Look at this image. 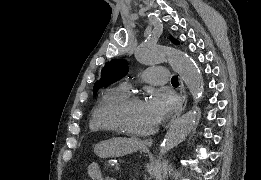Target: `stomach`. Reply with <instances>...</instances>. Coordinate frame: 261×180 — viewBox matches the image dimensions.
<instances>
[{"instance_id":"1","label":"stomach","mask_w":261,"mask_h":180,"mask_svg":"<svg viewBox=\"0 0 261 180\" xmlns=\"http://www.w3.org/2000/svg\"><path fill=\"white\" fill-rule=\"evenodd\" d=\"M139 146L132 138H111L101 141L94 147V153L100 158L121 157L136 152Z\"/></svg>"}]
</instances>
